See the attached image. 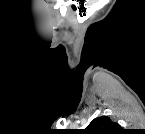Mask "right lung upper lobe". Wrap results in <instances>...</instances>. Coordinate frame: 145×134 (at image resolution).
I'll use <instances>...</instances> for the list:
<instances>
[{"label":"right lung upper lobe","mask_w":145,"mask_h":134,"mask_svg":"<svg viewBox=\"0 0 145 134\" xmlns=\"http://www.w3.org/2000/svg\"><path fill=\"white\" fill-rule=\"evenodd\" d=\"M121 130L118 123L113 122L107 116L95 118L83 130L82 134H117Z\"/></svg>","instance_id":"cb5924a9"}]
</instances>
